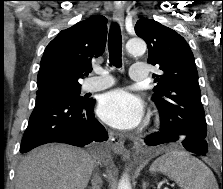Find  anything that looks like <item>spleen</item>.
Listing matches in <instances>:
<instances>
[{"mask_svg": "<svg viewBox=\"0 0 223 189\" xmlns=\"http://www.w3.org/2000/svg\"><path fill=\"white\" fill-rule=\"evenodd\" d=\"M151 172H161L182 189H219L212 171L184 151L172 150L157 158Z\"/></svg>", "mask_w": 223, "mask_h": 189, "instance_id": "spleen-1", "label": "spleen"}]
</instances>
